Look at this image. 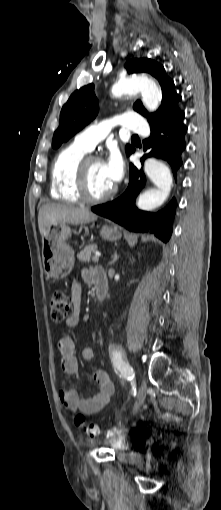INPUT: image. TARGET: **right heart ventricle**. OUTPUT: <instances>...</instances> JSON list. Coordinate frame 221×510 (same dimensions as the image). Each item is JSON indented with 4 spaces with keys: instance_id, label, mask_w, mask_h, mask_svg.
<instances>
[{
    "instance_id": "e07e8e85",
    "label": "right heart ventricle",
    "mask_w": 221,
    "mask_h": 510,
    "mask_svg": "<svg viewBox=\"0 0 221 510\" xmlns=\"http://www.w3.org/2000/svg\"><path fill=\"white\" fill-rule=\"evenodd\" d=\"M88 152L74 141L57 154L51 168L50 196L52 198L69 203L80 202L74 188L75 169Z\"/></svg>"
}]
</instances>
